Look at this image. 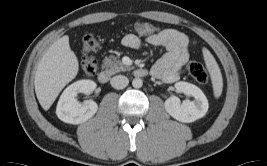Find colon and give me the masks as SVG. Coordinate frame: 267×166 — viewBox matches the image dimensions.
<instances>
[{"instance_id":"colon-1","label":"colon","mask_w":267,"mask_h":166,"mask_svg":"<svg viewBox=\"0 0 267 166\" xmlns=\"http://www.w3.org/2000/svg\"><path fill=\"white\" fill-rule=\"evenodd\" d=\"M135 30L139 35H152L157 31V27L149 23H137ZM100 48L99 39L93 34H87L82 38V52L84 59L81 64L85 75H94L97 70V61L93 54ZM189 74L199 83L207 84L209 75L202 64L191 61L187 65Z\"/></svg>"}]
</instances>
